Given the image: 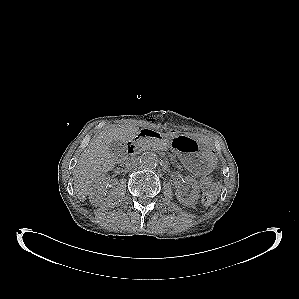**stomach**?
Listing matches in <instances>:
<instances>
[{
    "instance_id": "stomach-1",
    "label": "stomach",
    "mask_w": 299,
    "mask_h": 299,
    "mask_svg": "<svg viewBox=\"0 0 299 299\" xmlns=\"http://www.w3.org/2000/svg\"><path fill=\"white\" fill-rule=\"evenodd\" d=\"M163 142L175 150L190 170L205 173L211 169L212 155L197 138L186 135L164 136Z\"/></svg>"
}]
</instances>
